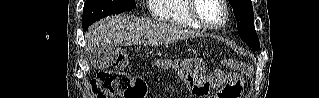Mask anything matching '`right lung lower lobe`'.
Returning a JSON list of instances; mask_svg holds the SVG:
<instances>
[{"label":"right lung lower lobe","mask_w":319,"mask_h":98,"mask_svg":"<svg viewBox=\"0 0 319 98\" xmlns=\"http://www.w3.org/2000/svg\"><path fill=\"white\" fill-rule=\"evenodd\" d=\"M90 26V25H89ZM89 26H85L83 27L84 31H86L88 29Z\"/></svg>","instance_id":"98d812e1"}]
</instances>
